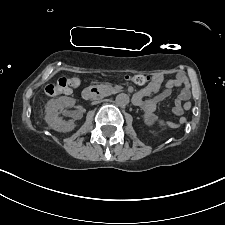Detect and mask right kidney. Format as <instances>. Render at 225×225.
Returning a JSON list of instances; mask_svg holds the SVG:
<instances>
[{"label":"right kidney","instance_id":"right-kidney-1","mask_svg":"<svg viewBox=\"0 0 225 225\" xmlns=\"http://www.w3.org/2000/svg\"><path fill=\"white\" fill-rule=\"evenodd\" d=\"M75 105V99L71 97L62 96L58 99H51L47 103L45 120L48 125L59 132H70L75 128V124L72 120L63 121L58 116L59 109L63 107H73Z\"/></svg>","mask_w":225,"mask_h":225}]
</instances>
